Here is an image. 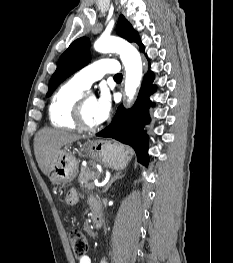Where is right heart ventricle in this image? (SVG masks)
<instances>
[{"label":"right heart ventricle","instance_id":"1","mask_svg":"<svg viewBox=\"0 0 233 263\" xmlns=\"http://www.w3.org/2000/svg\"><path fill=\"white\" fill-rule=\"evenodd\" d=\"M83 87L72 79L61 85L51 98L49 105V119L53 126L76 129L73 110L76 101L82 94Z\"/></svg>","mask_w":233,"mask_h":263}]
</instances>
